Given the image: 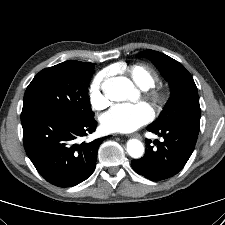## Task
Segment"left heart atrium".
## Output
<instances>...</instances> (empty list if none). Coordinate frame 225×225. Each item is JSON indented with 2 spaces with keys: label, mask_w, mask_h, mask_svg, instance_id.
<instances>
[{
  "label": "left heart atrium",
  "mask_w": 225,
  "mask_h": 225,
  "mask_svg": "<svg viewBox=\"0 0 225 225\" xmlns=\"http://www.w3.org/2000/svg\"><path fill=\"white\" fill-rule=\"evenodd\" d=\"M152 117L153 110L146 103H121L101 117V124L108 132L128 133L148 123Z\"/></svg>",
  "instance_id": "obj_1"
}]
</instances>
